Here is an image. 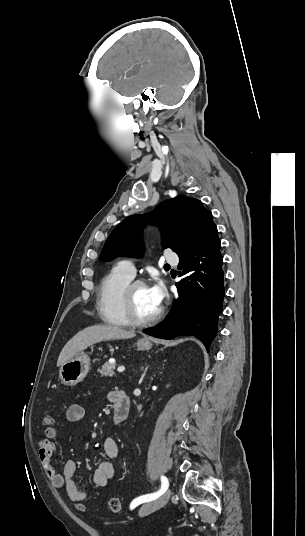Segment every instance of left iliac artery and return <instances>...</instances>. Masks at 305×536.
I'll list each match as a JSON object with an SVG mask.
<instances>
[{"instance_id": "1", "label": "left iliac artery", "mask_w": 305, "mask_h": 536, "mask_svg": "<svg viewBox=\"0 0 305 536\" xmlns=\"http://www.w3.org/2000/svg\"><path fill=\"white\" fill-rule=\"evenodd\" d=\"M168 487H169L168 479L165 476H161V489L156 493L147 494V495H143V496L136 498L135 500L132 501L131 508H134L141 503L149 502L158 498L168 489Z\"/></svg>"}]
</instances>
